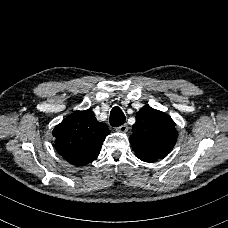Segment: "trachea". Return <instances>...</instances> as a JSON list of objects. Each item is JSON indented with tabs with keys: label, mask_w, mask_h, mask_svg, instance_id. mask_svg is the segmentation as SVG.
Listing matches in <instances>:
<instances>
[{
	"label": "trachea",
	"mask_w": 228,
	"mask_h": 228,
	"mask_svg": "<svg viewBox=\"0 0 228 228\" xmlns=\"http://www.w3.org/2000/svg\"><path fill=\"white\" fill-rule=\"evenodd\" d=\"M126 120V117L119 107H114L110 113V124L113 127L121 126Z\"/></svg>",
	"instance_id": "trachea-1"
}]
</instances>
